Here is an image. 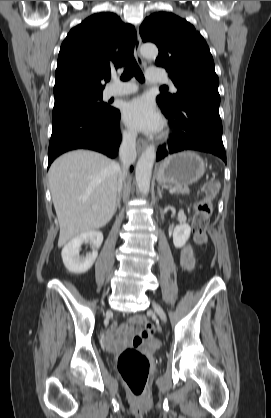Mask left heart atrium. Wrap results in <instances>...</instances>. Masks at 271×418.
<instances>
[{"label":"left heart atrium","mask_w":271,"mask_h":418,"mask_svg":"<svg viewBox=\"0 0 271 418\" xmlns=\"http://www.w3.org/2000/svg\"><path fill=\"white\" fill-rule=\"evenodd\" d=\"M123 120L132 131L145 133L161 129L163 120L151 100L145 97L133 99L123 108Z\"/></svg>","instance_id":"left-heart-atrium-1"}]
</instances>
